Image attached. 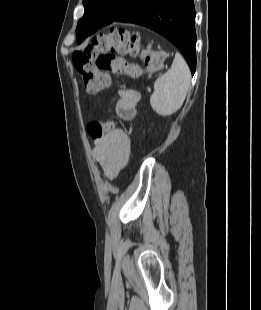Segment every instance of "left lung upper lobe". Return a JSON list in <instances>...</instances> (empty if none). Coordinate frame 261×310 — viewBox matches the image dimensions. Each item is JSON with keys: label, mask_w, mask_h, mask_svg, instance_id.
<instances>
[{"label": "left lung upper lobe", "mask_w": 261, "mask_h": 310, "mask_svg": "<svg viewBox=\"0 0 261 310\" xmlns=\"http://www.w3.org/2000/svg\"><path fill=\"white\" fill-rule=\"evenodd\" d=\"M128 0H83L84 15L76 28L77 35L86 22H110L122 12Z\"/></svg>", "instance_id": "left-lung-upper-lobe-1"}]
</instances>
